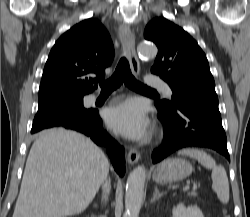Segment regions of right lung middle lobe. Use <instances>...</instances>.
Instances as JSON below:
<instances>
[{
    "mask_svg": "<svg viewBox=\"0 0 250 217\" xmlns=\"http://www.w3.org/2000/svg\"><path fill=\"white\" fill-rule=\"evenodd\" d=\"M91 114L92 110L83 107V98L55 102L39 107L33 121L31 133L35 134L64 123L87 121Z\"/></svg>",
    "mask_w": 250,
    "mask_h": 217,
    "instance_id": "1",
    "label": "right lung middle lobe"
}]
</instances>
